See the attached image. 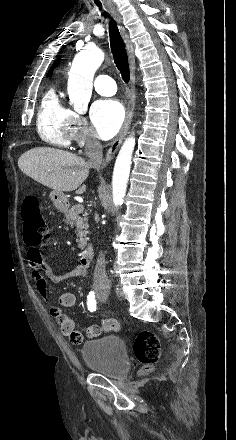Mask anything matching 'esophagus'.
I'll return each mask as SVG.
<instances>
[{
	"instance_id": "esophagus-1",
	"label": "esophagus",
	"mask_w": 236,
	"mask_h": 440,
	"mask_svg": "<svg viewBox=\"0 0 236 440\" xmlns=\"http://www.w3.org/2000/svg\"><path fill=\"white\" fill-rule=\"evenodd\" d=\"M108 7H109L110 11L112 12V14L115 16V18L119 21L120 18L118 16L116 10L114 9L113 5L111 3H108ZM119 30H120V33H121V35L124 39V42L126 44V49H127L129 64H130L129 103H128L127 110H126V118H125L124 125H123L121 131L119 132V135L117 136V138L113 141V143L109 147V149L105 155V158L103 160L102 167H106L108 165V163L113 159L115 153L117 152L119 146L121 145L123 139L125 138L126 133L129 129L132 117H133L135 103H136V87H135V85H136V76H135L136 64H135L134 47H133L132 42L129 39V36H128L125 28L123 26L119 25Z\"/></svg>"
}]
</instances>
